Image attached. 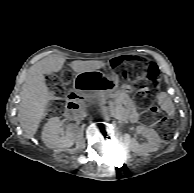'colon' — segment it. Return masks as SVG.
<instances>
[{
    "label": "colon",
    "instance_id": "obj_1",
    "mask_svg": "<svg viewBox=\"0 0 194 193\" xmlns=\"http://www.w3.org/2000/svg\"><path fill=\"white\" fill-rule=\"evenodd\" d=\"M109 68L116 70L123 80H133L139 76L140 80L144 82L145 85L138 97V101L146 112V121L156 126L164 139H168L171 136L173 125L168 118L162 115L159 108L152 104L151 100L152 92L158 85V67L153 63H148L141 70L137 59L125 57L112 60ZM69 80L70 74L68 72L62 73L60 77L51 75L48 78L47 83L53 109L62 108L66 96V90L63 83H66Z\"/></svg>",
    "mask_w": 194,
    "mask_h": 193
}]
</instances>
